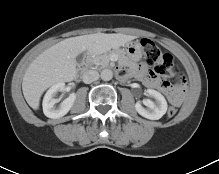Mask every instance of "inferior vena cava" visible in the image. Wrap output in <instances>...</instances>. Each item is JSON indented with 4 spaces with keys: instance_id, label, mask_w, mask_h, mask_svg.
Wrapping results in <instances>:
<instances>
[{
    "instance_id": "inferior-vena-cava-1",
    "label": "inferior vena cava",
    "mask_w": 219,
    "mask_h": 174,
    "mask_svg": "<svg viewBox=\"0 0 219 174\" xmlns=\"http://www.w3.org/2000/svg\"><path fill=\"white\" fill-rule=\"evenodd\" d=\"M99 78V73L95 70H87L82 75V80L84 83L89 84L92 83Z\"/></svg>"
}]
</instances>
